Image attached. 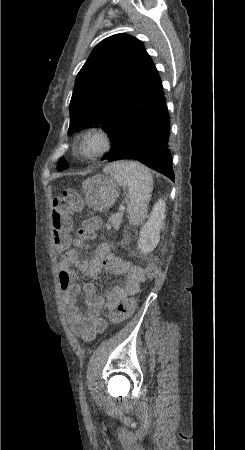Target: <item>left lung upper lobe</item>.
I'll list each match as a JSON object with an SVG mask.
<instances>
[{
    "mask_svg": "<svg viewBox=\"0 0 245 450\" xmlns=\"http://www.w3.org/2000/svg\"><path fill=\"white\" fill-rule=\"evenodd\" d=\"M162 88L158 71L141 41L126 34L110 36L93 49L77 75L68 132L100 123L111 140L108 154L119 152ZM67 167L61 158L57 169Z\"/></svg>",
    "mask_w": 245,
    "mask_h": 450,
    "instance_id": "obj_1",
    "label": "left lung upper lobe"
}]
</instances>
